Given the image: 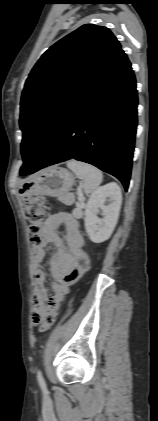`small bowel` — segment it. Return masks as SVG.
<instances>
[{
    "label": "small bowel",
    "instance_id": "c3829d8e",
    "mask_svg": "<svg viewBox=\"0 0 158 421\" xmlns=\"http://www.w3.org/2000/svg\"><path fill=\"white\" fill-rule=\"evenodd\" d=\"M60 225L65 227L64 238L57 233V228ZM48 244L55 247V252L50 260L54 278L52 284L54 296L51 298L48 296L45 286L46 273L41 268ZM89 265L90 259L84 250V239L75 216L71 213L59 212L48 218L31 251L35 321H38L47 310H56L59 307L60 302L68 294L70 285L86 272Z\"/></svg>",
    "mask_w": 158,
    "mask_h": 421
}]
</instances>
